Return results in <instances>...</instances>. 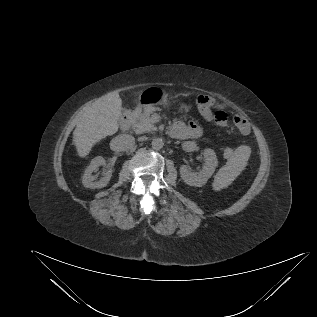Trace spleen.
<instances>
[{
    "label": "spleen",
    "mask_w": 317,
    "mask_h": 317,
    "mask_svg": "<svg viewBox=\"0 0 317 317\" xmlns=\"http://www.w3.org/2000/svg\"><path fill=\"white\" fill-rule=\"evenodd\" d=\"M249 156L250 149L247 146L237 148L233 156L216 174L212 184L213 189L219 191L230 185L246 166Z\"/></svg>",
    "instance_id": "1"
}]
</instances>
